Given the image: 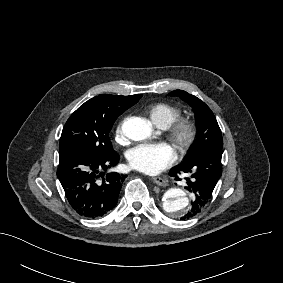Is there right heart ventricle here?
I'll list each match as a JSON object with an SVG mask.
<instances>
[{"mask_svg": "<svg viewBox=\"0 0 283 283\" xmlns=\"http://www.w3.org/2000/svg\"><path fill=\"white\" fill-rule=\"evenodd\" d=\"M148 114L156 126L168 128L180 118L182 110L169 102H156L149 107Z\"/></svg>", "mask_w": 283, "mask_h": 283, "instance_id": "e07e8e85", "label": "right heart ventricle"}]
</instances>
